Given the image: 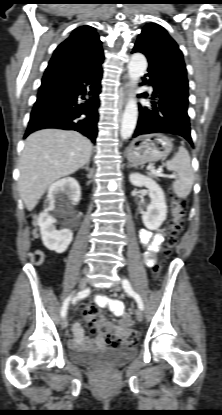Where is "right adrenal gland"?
Segmentation results:
<instances>
[{"label": "right adrenal gland", "mask_w": 222, "mask_h": 415, "mask_svg": "<svg viewBox=\"0 0 222 415\" xmlns=\"http://www.w3.org/2000/svg\"><path fill=\"white\" fill-rule=\"evenodd\" d=\"M82 169H86L87 171H90V169H89V162L86 163L85 166L82 167Z\"/></svg>", "instance_id": "1"}]
</instances>
